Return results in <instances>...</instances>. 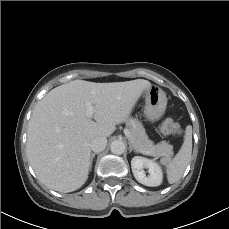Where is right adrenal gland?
I'll return each mask as SVG.
<instances>
[{
    "label": "right adrenal gland",
    "mask_w": 229,
    "mask_h": 229,
    "mask_svg": "<svg viewBox=\"0 0 229 229\" xmlns=\"http://www.w3.org/2000/svg\"><path fill=\"white\" fill-rule=\"evenodd\" d=\"M97 154H98V153L95 152V153H92L91 156H90V166H89L90 169L92 168L93 159H94L95 155H97Z\"/></svg>",
    "instance_id": "2a0ac1e0"
}]
</instances>
